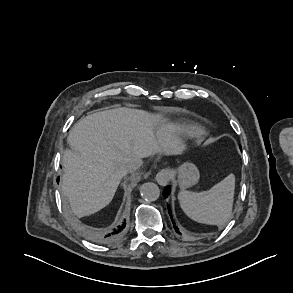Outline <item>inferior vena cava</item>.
Masks as SVG:
<instances>
[{
    "label": "inferior vena cava",
    "instance_id": "1",
    "mask_svg": "<svg viewBox=\"0 0 293 293\" xmlns=\"http://www.w3.org/2000/svg\"><path fill=\"white\" fill-rule=\"evenodd\" d=\"M142 164H143L142 159H136L128 165V170L130 172H133V171L139 169Z\"/></svg>",
    "mask_w": 293,
    "mask_h": 293
}]
</instances>
